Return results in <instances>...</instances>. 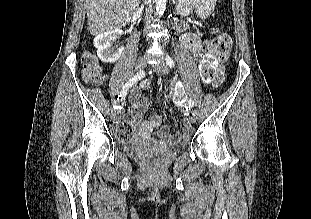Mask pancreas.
Returning a JSON list of instances; mask_svg holds the SVG:
<instances>
[{"mask_svg":"<svg viewBox=\"0 0 311 219\" xmlns=\"http://www.w3.org/2000/svg\"><path fill=\"white\" fill-rule=\"evenodd\" d=\"M195 2L196 0H184L181 5L186 7V9L192 10L195 7Z\"/></svg>","mask_w":311,"mask_h":219,"instance_id":"1","label":"pancreas"}]
</instances>
